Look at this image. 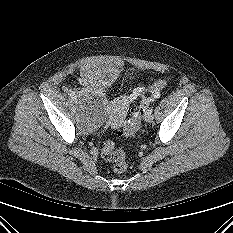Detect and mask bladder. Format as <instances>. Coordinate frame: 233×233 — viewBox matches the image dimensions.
<instances>
[{
	"label": "bladder",
	"instance_id": "1",
	"mask_svg": "<svg viewBox=\"0 0 233 233\" xmlns=\"http://www.w3.org/2000/svg\"><path fill=\"white\" fill-rule=\"evenodd\" d=\"M119 71L105 65H89L81 70L82 88L77 92L82 125L91 132L107 122L109 115L103 87L118 78Z\"/></svg>",
	"mask_w": 233,
	"mask_h": 233
}]
</instances>
